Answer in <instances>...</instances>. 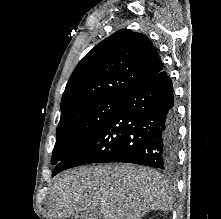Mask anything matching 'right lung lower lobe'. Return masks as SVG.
Listing matches in <instances>:
<instances>
[{"instance_id":"1","label":"right lung lower lobe","mask_w":221,"mask_h":219,"mask_svg":"<svg viewBox=\"0 0 221 219\" xmlns=\"http://www.w3.org/2000/svg\"><path fill=\"white\" fill-rule=\"evenodd\" d=\"M177 145L173 84L161 71L125 94L101 129L58 163L52 176L98 162H128L170 170L177 160Z\"/></svg>"}]
</instances>
